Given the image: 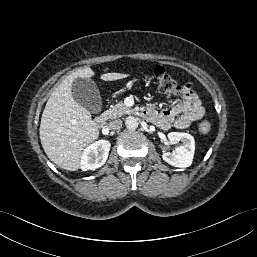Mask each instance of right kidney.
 <instances>
[{"label":"right kidney","mask_w":257,"mask_h":257,"mask_svg":"<svg viewBox=\"0 0 257 257\" xmlns=\"http://www.w3.org/2000/svg\"><path fill=\"white\" fill-rule=\"evenodd\" d=\"M109 151L110 143L106 140H99L91 144L83 152L81 169L87 171L102 167L107 161Z\"/></svg>","instance_id":"obj_1"}]
</instances>
